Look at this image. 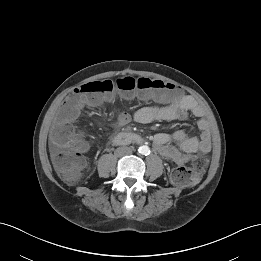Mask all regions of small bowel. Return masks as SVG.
Masks as SVG:
<instances>
[{
    "mask_svg": "<svg viewBox=\"0 0 261 261\" xmlns=\"http://www.w3.org/2000/svg\"><path fill=\"white\" fill-rule=\"evenodd\" d=\"M110 97V96H107ZM189 114L196 117V125L201 131L199 136H190L183 130L173 134L158 133L153 142L159 153L176 163L187 162L197 153H207L211 149V132L204 108L192 96H183L168 104L148 105L139 108L134 114L122 112L114 123L116 128L135 121L148 124L155 121L185 120Z\"/></svg>",
    "mask_w": 261,
    "mask_h": 261,
    "instance_id": "obj_1",
    "label": "small bowel"
}]
</instances>
